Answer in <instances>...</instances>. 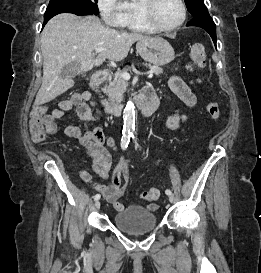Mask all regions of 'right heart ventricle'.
Returning a JSON list of instances; mask_svg holds the SVG:
<instances>
[{"label":"right heart ventricle","instance_id":"obj_1","mask_svg":"<svg viewBox=\"0 0 261 273\" xmlns=\"http://www.w3.org/2000/svg\"><path fill=\"white\" fill-rule=\"evenodd\" d=\"M123 2V17L119 27L137 33H152L153 30L144 20L142 0H125Z\"/></svg>","mask_w":261,"mask_h":273}]
</instances>
